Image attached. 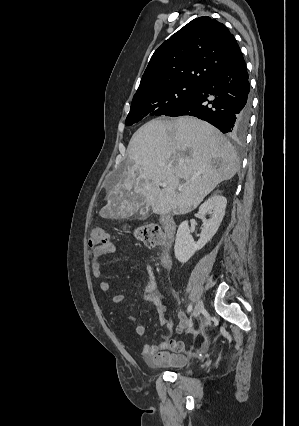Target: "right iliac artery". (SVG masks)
Here are the masks:
<instances>
[{
  "mask_svg": "<svg viewBox=\"0 0 299 426\" xmlns=\"http://www.w3.org/2000/svg\"><path fill=\"white\" fill-rule=\"evenodd\" d=\"M191 310H192V305L190 304L187 308V312L189 313V312H191Z\"/></svg>",
  "mask_w": 299,
  "mask_h": 426,
  "instance_id": "right-iliac-artery-1",
  "label": "right iliac artery"
}]
</instances>
